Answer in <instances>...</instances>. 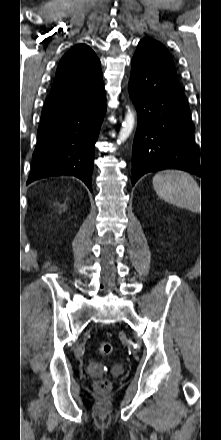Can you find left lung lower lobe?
Wrapping results in <instances>:
<instances>
[{
	"label": "left lung lower lobe",
	"instance_id": "1",
	"mask_svg": "<svg viewBox=\"0 0 221 440\" xmlns=\"http://www.w3.org/2000/svg\"><path fill=\"white\" fill-rule=\"evenodd\" d=\"M130 97L138 115L132 151V185L145 173L180 169L203 176L192 134L195 126L178 79L138 51L132 58Z\"/></svg>",
	"mask_w": 221,
	"mask_h": 440
}]
</instances>
